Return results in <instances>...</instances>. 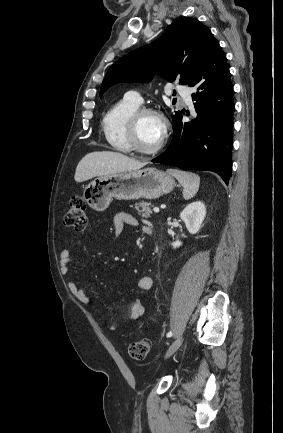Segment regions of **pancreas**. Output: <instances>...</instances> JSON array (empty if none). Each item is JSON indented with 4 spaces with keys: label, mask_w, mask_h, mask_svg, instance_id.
I'll list each match as a JSON object with an SVG mask.
<instances>
[{
    "label": "pancreas",
    "mask_w": 283,
    "mask_h": 433,
    "mask_svg": "<svg viewBox=\"0 0 283 433\" xmlns=\"http://www.w3.org/2000/svg\"><path fill=\"white\" fill-rule=\"evenodd\" d=\"M150 206H152L151 202H145V200L135 202V208L138 210L139 214H142V217H150L152 212Z\"/></svg>",
    "instance_id": "cf45deb5"
}]
</instances>
